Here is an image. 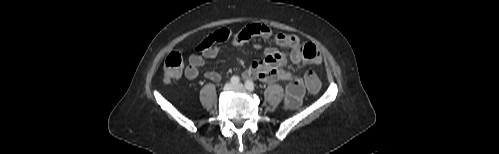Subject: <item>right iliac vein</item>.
Masks as SVG:
<instances>
[{"mask_svg": "<svg viewBox=\"0 0 499 154\" xmlns=\"http://www.w3.org/2000/svg\"><path fill=\"white\" fill-rule=\"evenodd\" d=\"M235 88V86L232 84V83H227L225 86H224V91L225 92H228V91H232L233 89Z\"/></svg>", "mask_w": 499, "mask_h": 154, "instance_id": "right-iliac-vein-1", "label": "right iliac vein"}]
</instances>
